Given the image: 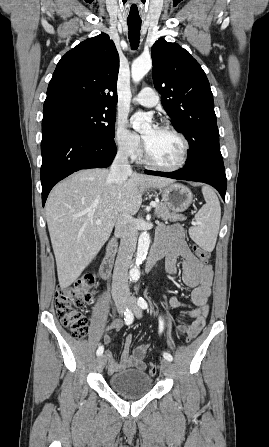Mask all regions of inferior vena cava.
Returning <instances> with one entry per match:
<instances>
[{
    "instance_id": "obj_1",
    "label": "inferior vena cava",
    "mask_w": 269,
    "mask_h": 447,
    "mask_svg": "<svg viewBox=\"0 0 269 447\" xmlns=\"http://www.w3.org/2000/svg\"><path fill=\"white\" fill-rule=\"evenodd\" d=\"M130 174H132V170L128 162V152L125 148H118L116 158L108 174V180L115 182V184H123ZM115 231L120 235L121 241L113 269L112 295L124 293V295L129 297L128 267L135 251L138 235L137 227L132 216H129V214H121L117 218Z\"/></svg>"
}]
</instances>
